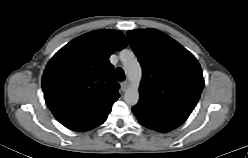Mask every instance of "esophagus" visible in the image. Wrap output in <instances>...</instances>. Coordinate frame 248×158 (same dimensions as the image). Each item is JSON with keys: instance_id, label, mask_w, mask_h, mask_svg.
<instances>
[{"instance_id": "esophagus-1", "label": "esophagus", "mask_w": 248, "mask_h": 158, "mask_svg": "<svg viewBox=\"0 0 248 158\" xmlns=\"http://www.w3.org/2000/svg\"><path fill=\"white\" fill-rule=\"evenodd\" d=\"M128 85H129V82L128 81H124V82H122L121 83V90L124 92V91H126L127 90V88H128Z\"/></svg>"}]
</instances>
